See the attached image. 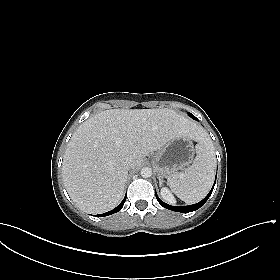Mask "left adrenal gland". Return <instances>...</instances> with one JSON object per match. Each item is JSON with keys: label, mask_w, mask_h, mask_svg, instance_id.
<instances>
[{"label": "left adrenal gland", "mask_w": 280, "mask_h": 280, "mask_svg": "<svg viewBox=\"0 0 280 280\" xmlns=\"http://www.w3.org/2000/svg\"><path fill=\"white\" fill-rule=\"evenodd\" d=\"M162 184H163V180L159 178V185L162 186Z\"/></svg>", "instance_id": "obj_1"}]
</instances>
